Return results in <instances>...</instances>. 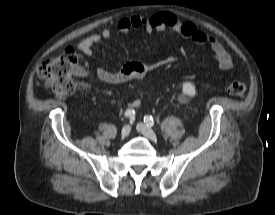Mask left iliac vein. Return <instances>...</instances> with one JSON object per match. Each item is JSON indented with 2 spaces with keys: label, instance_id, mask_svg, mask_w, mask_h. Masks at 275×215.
<instances>
[{
  "label": "left iliac vein",
  "instance_id": "left-iliac-vein-1",
  "mask_svg": "<svg viewBox=\"0 0 275 215\" xmlns=\"http://www.w3.org/2000/svg\"><path fill=\"white\" fill-rule=\"evenodd\" d=\"M137 130L141 132L144 136L152 141L157 140V136L152 129H150L146 124L138 123Z\"/></svg>",
  "mask_w": 275,
  "mask_h": 215
}]
</instances>
